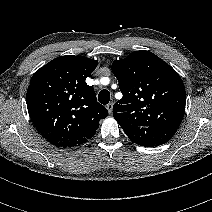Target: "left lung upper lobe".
Instances as JSON below:
<instances>
[{
  "label": "left lung upper lobe",
  "mask_w": 212,
  "mask_h": 212,
  "mask_svg": "<svg viewBox=\"0 0 212 212\" xmlns=\"http://www.w3.org/2000/svg\"><path fill=\"white\" fill-rule=\"evenodd\" d=\"M112 71L122 99L113 116L127 134L135 128L178 129L185 112V87L179 74L149 51H135L116 60Z\"/></svg>",
  "instance_id": "left-lung-upper-lobe-1"
}]
</instances>
